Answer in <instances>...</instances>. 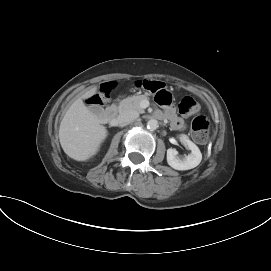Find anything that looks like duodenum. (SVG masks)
I'll list each match as a JSON object with an SVG mask.
<instances>
[{"label": "duodenum", "instance_id": "1", "mask_svg": "<svg viewBox=\"0 0 271 271\" xmlns=\"http://www.w3.org/2000/svg\"><path fill=\"white\" fill-rule=\"evenodd\" d=\"M117 114L115 107H109L105 112V119L108 123H113Z\"/></svg>", "mask_w": 271, "mask_h": 271}]
</instances>
